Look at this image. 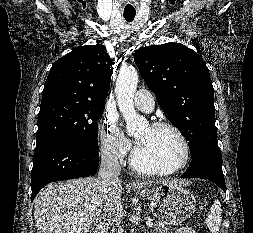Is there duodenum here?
<instances>
[{
	"mask_svg": "<svg viewBox=\"0 0 253 233\" xmlns=\"http://www.w3.org/2000/svg\"><path fill=\"white\" fill-rule=\"evenodd\" d=\"M110 225V219L106 216L102 217L97 225L96 233H105Z\"/></svg>",
	"mask_w": 253,
	"mask_h": 233,
	"instance_id": "obj_1",
	"label": "duodenum"
}]
</instances>
